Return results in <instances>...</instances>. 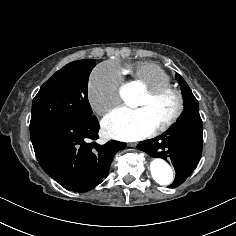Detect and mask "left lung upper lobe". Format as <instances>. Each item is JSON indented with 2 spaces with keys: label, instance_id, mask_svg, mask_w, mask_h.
<instances>
[{
  "label": "left lung upper lobe",
  "instance_id": "left-lung-upper-lobe-1",
  "mask_svg": "<svg viewBox=\"0 0 236 236\" xmlns=\"http://www.w3.org/2000/svg\"><path fill=\"white\" fill-rule=\"evenodd\" d=\"M176 79L179 81L184 97L185 110L177 122H193L202 123L199 114V104L192 91L183 78L176 74Z\"/></svg>",
  "mask_w": 236,
  "mask_h": 236
}]
</instances>
